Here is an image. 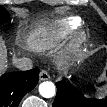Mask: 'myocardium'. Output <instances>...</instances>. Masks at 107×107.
<instances>
[{"label": "myocardium", "mask_w": 107, "mask_h": 107, "mask_svg": "<svg viewBox=\"0 0 107 107\" xmlns=\"http://www.w3.org/2000/svg\"><path fill=\"white\" fill-rule=\"evenodd\" d=\"M88 35L85 31L79 32L70 42L66 51L61 55L59 61L62 65H68L77 59L87 42Z\"/></svg>", "instance_id": "obj_1"}]
</instances>
